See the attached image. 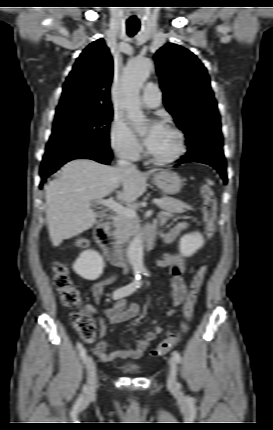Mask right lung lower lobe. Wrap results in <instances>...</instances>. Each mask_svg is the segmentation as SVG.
Masks as SVG:
<instances>
[{
  "label": "right lung lower lobe",
  "mask_w": 273,
  "mask_h": 430,
  "mask_svg": "<svg viewBox=\"0 0 273 430\" xmlns=\"http://www.w3.org/2000/svg\"><path fill=\"white\" fill-rule=\"evenodd\" d=\"M79 158H87L103 164H109L111 160V151L110 150L109 151H95V150L79 151V152L70 153L62 157L56 158L54 160L42 163L41 169H40L42 182H44L50 174L54 173L60 166H62L66 162L73 159H79ZM39 187L42 188V183L40 184Z\"/></svg>",
  "instance_id": "98d812e1"
}]
</instances>
